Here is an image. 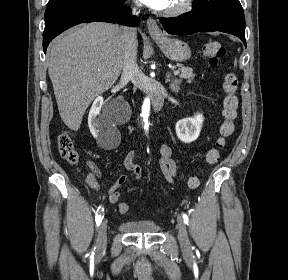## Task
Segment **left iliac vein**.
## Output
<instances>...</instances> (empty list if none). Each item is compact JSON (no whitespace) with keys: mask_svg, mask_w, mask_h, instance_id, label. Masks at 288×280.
Masks as SVG:
<instances>
[{"mask_svg":"<svg viewBox=\"0 0 288 280\" xmlns=\"http://www.w3.org/2000/svg\"><path fill=\"white\" fill-rule=\"evenodd\" d=\"M178 222V239L180 245L183 249L187 250L190 248L189 238L187 234V228L183 220L182 214H179L177 217Z\"/></svg>","mask_w":288,"mask_h":280,"instance_id":"4c4485c4","label":"left iliac vein"}]
</instances>
